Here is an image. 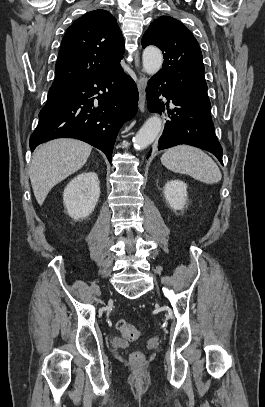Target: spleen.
<instances>
[{
	"label": "spleen",
	"mask_w": 265,
	"mask_h": 407,
	"mask_svg": "<svg viewBox=\"0 0 265 407\" xmlns=\"http://www.w3.org/2000/svg\"><path fill=\"white\" fill-rule=\"evenodd\" d=\"M162 164L169 170L187 174L207 184L221 180L222 174L204 151L189 145H178L165 151L161 157Z\"/></svg>",
	"instance_id": "1"
}]
</instances>
